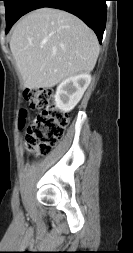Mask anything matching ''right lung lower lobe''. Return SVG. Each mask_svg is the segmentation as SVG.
Here are the masks:
<instances>
[{
	"mask_svg": "<svg viewBox=\"0 0 133 253\" xmlns=\"http://www.w3.org/2000/svg\"><path fill=\"white\" fill-rule=\"evenodd\" d=\"M42 7L57 8L74 14L96 33L99 42L102 41L106 25V0H24L17 18Z\"/></svg>",
	"mask_w": 133,
	"mask_h": 253,
	"instance_id": "obj_1",
	"label": "right lung lower lobe"
}]
</instances>
